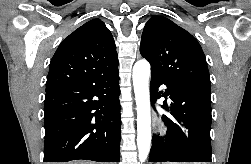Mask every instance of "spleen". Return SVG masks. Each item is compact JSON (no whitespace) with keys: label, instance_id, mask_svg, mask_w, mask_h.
<instances>
[{"label":"spleen","instance_id":"3e777b00","mask_svg":"<svg viewBox=\"0 0 251 164\" xmlns=\"http://www.w3.org/2000/svg\"><path fill=\"white\" fill-rule=\"evenodd\" d=\"M166 164H175V163H166Z\"/></svg>","mask_w":251,"mask_h":164}]
</instances>
